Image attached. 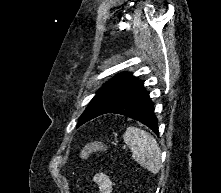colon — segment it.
Returning a JSON list of instances; mask_svg holds the SVG:
<instances>
[{
    "mask_svg": "<svg viewBox=\"0 0 221 193\" xmlns=\"http://www.w3.org/2000/svg\"><path fill=\"white\" fill-rule=\"evenodd\" d=\"M106 147L102 144L99 143H91L89 145H87L81 152L80 154V160L84 161L88 158V156L96 150H105Z\"/></svg>",
    "mask_w": 221,
    "mask_h": 193,
    "instance_id": "1",
    "label": "colon"
}]
</instances>
